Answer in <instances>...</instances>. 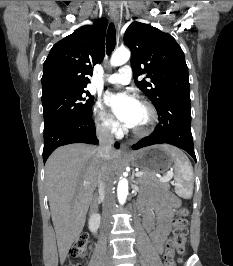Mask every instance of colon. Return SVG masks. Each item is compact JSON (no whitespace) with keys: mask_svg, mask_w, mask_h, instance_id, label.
Listing matches in <instances>:
<instances>
[{"mask_svg":"<svg viewBox=\"0 0 233 266\" xmlns=\"http://www.w3.org/2000/svg\"><path fill=\"white\" fill-rule=\"evenodd\" d=\"M187 214L186 208L182 207L178 211V216L173 224V231L168 238L165 246L164 264L165 266H175L174 257L177 254L182 256L185 252L187 240ZM88 237L85 234L80 235L71 248L70 255L74 258H84L87 254ZM71 266H81L71 265Z\"/></svg>","mask_w":233,"mask_h":266,"instance_id":"obj_1","label":"colon"}]
</instances>
